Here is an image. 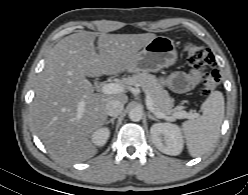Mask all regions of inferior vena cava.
<instances>
[{"label":"inferior vena cava","mask_w":248,"mask_h":195,"mask_svg":"<svg viewBox=\"0 0 248 195\" xmlns=\"http://www.w3.org/2000/svg\"><path fill=\"white\" fill-rule=\"evenodd\" d=\"M124 104L119 100H110L106 104V113L109 116L117 117L123 111Z\"/></svg>","instance_id":"602c4592"}]
</instances>
